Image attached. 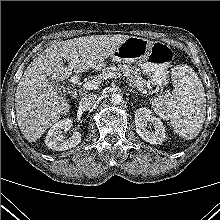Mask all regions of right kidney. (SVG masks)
Returning a JSON list of instances; mask_svg holds the SVG:
<instances>
[{
	"mask_svg": "<svg viewBox=\"0 0 220 220\" xmlns=\"http://www.w3.org/2000/svg\"><path fill=\"white\" fill-rule=\"evenodd\" d=\"M72 120L65 118L55 123L47 133L45 144L52 150L65 151L77 146L81 142L82 135L79 132H73L72 136L65 139L62 134L72 127Z\"/></svg>",
	"mask_w": 220,
	"mask_h": 220,
	"instance_id": "right-kidney-1",
	"label": "right kidney"
}]
</instances>
